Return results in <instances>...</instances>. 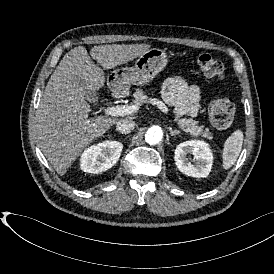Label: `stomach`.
Returning <instances> with one entry per match:
<instances>
[{
	"mask_svg": "<svg viewBox=\"0 0 274 274\" xmlns=\"http://www.w3.org/2000/svg\"><path fill=\"white\" fill-rule=\"evenodd\" d=\"M168 63L169 56L165 50L151 48L140 55L128 71H113L108 86L118 94L127 91L131 85L137 87L147 86L166 68Z\"/></svg>",
	"mask_w": 274,
	"mask_h": 274,
	"instance_id": "stomach-1",
	"label": "stomach"
}]
</instances>
